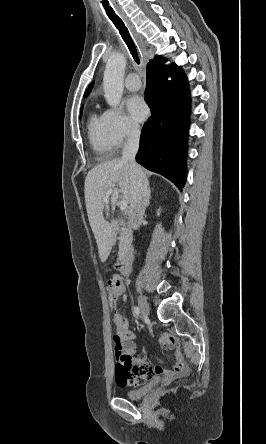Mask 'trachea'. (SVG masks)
<instances>
[{
    "label": "trachea",
    "instance_id": "1",
    "mask_svg": "<svg viewBox=\"0 0 266 444\" xmlns=\"http://www.w3.org/2000/svg\"><path fill=\"white\" fill-rule=\"evenodd\" d=\"M106 14L109 17V19L112 21L116 29L119 31L123 41L128 47V50L133 57L134 61L139 65L140 59H139V51L129 33L128 28L125 26L122 19L114 12V10L109 6L108 2H102Z\"/></svg>",
    "mask_w": 266,
    "mask_h": 444
}]
</instances>
